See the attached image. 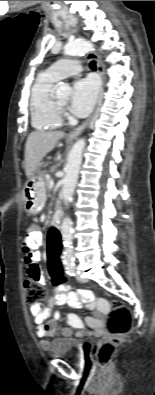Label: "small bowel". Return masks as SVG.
Returning <instances> with one entry per match:
<instances>
[{
    "label": "small bowel",
    "instance_id": "c3829d8e",
    "mask_svg": "<svg viewBox=\"0 0 155 395\" xmlns=\"http://www.w3.org/2000/svg\"><path fill=\"white\" fill-rule=\"evenodd\" d=\"M41 241V235L38 231H32L21 244V251L24 255L27 273L29 277L35 278L41 284L45 283V278L38 265L41 258L39 251L36 247ZM74 283H67L63 288H55L52 297L45 305L37 303L30 307L31 314L33 315V323L35 326L36 336L40 340V345L43 349L50 348L51 343L49 337L53 336L56 331L57 321L60 319L61 314L59 311L54 313L53 319L47 321L51 311L56 306L69 304L71 307L79 308L86 304L89 308L99 311L100 315H110L112 311V302L107 300L106 296L93 297L92 293L88 290L74 291ZM68 327L62 329V336L70 338L73 335V329L77 330L78 335L85 334L84 324L81 318L75 314H70L66 318ZM86 324L93 329L95 335H100L103 331V321L99 316L87 317Z\"/></svg>",
    "mask_w": 155,
    "mask_h": 395
}]
</instances>
